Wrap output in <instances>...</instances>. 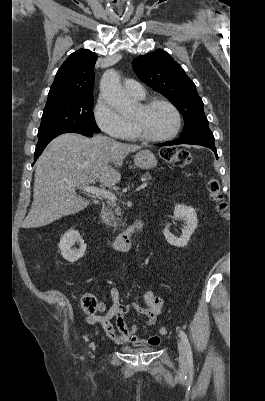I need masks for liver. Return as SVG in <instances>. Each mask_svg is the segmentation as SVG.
Listing matches in <instances>:
<instances>
[{
  "label": "liver",
  "instance_id": "liver-1",
  "mask_svg": "<svg viewBox=\"0 0 265 401\" xmlns=\"http://www.w3.org/2000/svg\"><path fill=\"white\" fill-rule=\"evenodd\" d=\"M138 148L142 146L101 134L86 138L66 132L51 140L36 162L33 203L23 229L44 227L86 209L90 201L76 194V186H88L94 178L104 186L117 184L121 174L109 162L122 166L127 154Z\"/></svg>",
  "mask_w": 265,
  "mask_h": 401
}]
</instances>
